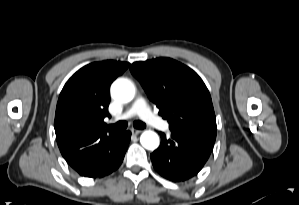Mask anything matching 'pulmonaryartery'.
I'll list each match as a JSON object with an SVG mask.
<instances>
[{"label": "pulmonary artery", "instance_id": "pulmonary-artery-1", "mask_svg": "<svg viewBox=\"0 0 299 205\" xmlns=\"http://www.w3.org/2000/svg\"><path fill=\"white\" fill-rule=\"evenodd\" d=\"M136 115L152 127L163 131L169 130V123L155 115L142 97L135 100L130 109L121 116V119L131 118Z\"/></svg>", "mask_w": 299, "mask_h": 205}]
</instances>
